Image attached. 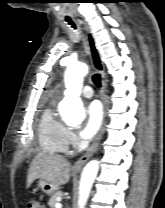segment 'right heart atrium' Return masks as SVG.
Segmentation results:
<instances>
[{
    "mask_svg": "<svg viewBox=\"0 0 165 208\" xmlns=\"http://www.w3.org/2000/svg\"><path fill=\"white\" fill-rule=\"evenodd\" d=\"M69 144L74 146L77 144V139L73 132L69 131L68 133Z\"/></svg>",
    "mask_w": 165,
    "mask_h": 208,
    "instance_id": "right-heart-atrium-1",
    "label": "right heart atrium"
}]
</instances>
